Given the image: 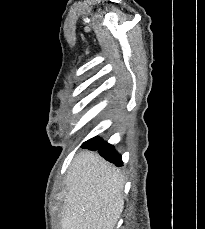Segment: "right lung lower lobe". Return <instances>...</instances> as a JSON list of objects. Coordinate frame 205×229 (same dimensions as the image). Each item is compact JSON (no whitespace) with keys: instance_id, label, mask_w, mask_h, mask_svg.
I'll return each instance as SVG.
<instances>
[{"instance_id":"98d812e1","label":"right lung lower lobe","mask_w":205,"mask_h":229,"mask_svg":"<svg viewBox=\"0 0 205 229\" xmlns=\"http://www.w3.org/2000/svg\"><path fill=\"white\" fill-rule=\"evenodd\" d=\"M82 148L89 150H98L99 154L106 160L114 163L117 166H122L121 156L115 151L114 147L107 142H104L99 137H94L83 143Z\"/></svg>"}]
</instances>
